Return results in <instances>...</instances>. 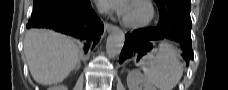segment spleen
I'll use <instances>...</instances> for the list:
<instances>
[{
    "label": "spleen",
    "instance_id": "1",
    "mask_svg": "<svg viewBox=\"0 0 228 90\" xmlns=\"http://www.w3.org/2000/svg\"><path fill=\"white\" fill-rule=\"evenodd\" d=\"M142 70L147 80L159 90H173L183 75L178 52L168 42L161 43L154 53L147 57Z\"/></svg>",
    "mask_w": 228,
    "mask_h": 90
}]
</instances>
